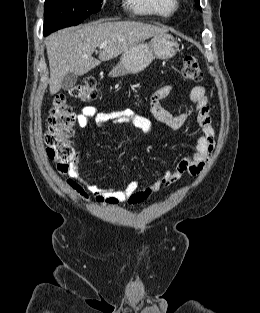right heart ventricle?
Segmentation results:
<instances>
[{"mask_svg": "<svg viewBox=\"0 0 260 313\" xmlns=\"http://www.w3.org/2000/svg\"><path fill=\"white\" fill-rule=\"evenodd\" d=\"M127 7L137 15L171 17L178 9L177 0H125Z\"/></svg>", "mask_w": 260, "mask_h": 313, "instance_id": "1", "label": "right heart ventricle"}]
</instances>
